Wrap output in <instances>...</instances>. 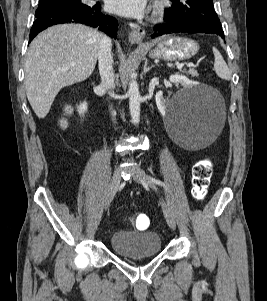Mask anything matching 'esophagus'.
<instances>
[{"instance_id": "obj_1", "label": "esophagus", "mask_w": 267, "mask_h": 301, "mask_svg": "<svg viewBox=\"0 0 267 301\" xmlns=\"http://www.w3.org/2000/svg\"><path fill=\"white\" fill-rule=\"evenodd\" d=\"M129 41L131 44L141 46L143 44V38L145 36V29L137 24L130 23Z\"/></svg>"}]
</instances>
